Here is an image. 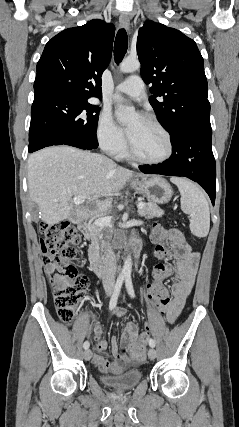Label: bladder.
Returning a JSON list of instances; mask_svg holds the SVG:
<instances>
[{"mask_svg":"<svg viewBox=\"0 0 239 427\" xmlns=\"http://www.w3.org/2000/svg\"><path fill=\"white\" fill-rule=\"evenodd\" d=\"M142 379V372L129 369L116 375H101V382L115 390H129L134 388Z\"/></svg>","mask_w":239,"mask_h":427,"instance_id":"31cf9c89","label":"bladder"}]
</instances>
